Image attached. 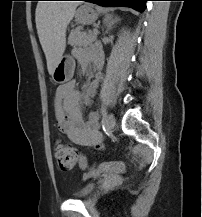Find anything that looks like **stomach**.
Here are the masks:
<instances>
[{
	"label": "stomach",
	"mask_w": 202,
	"mask_h": 217,
	"mask_svg": "<svg viewBox=\"0 0 202 217\" xmlns=\"http://www.w3.org/2000/svg\"><path fill=\"white\" fill-rule=\"evenodd\" d=\"M97 17L98 14L91 5H83L75 11V21L79 24H91ZM74 69L73 59L68 56L62 57L52 73V79L59 84L68 82L73 77Z\"/></svg>",
	"instance_id": "obj_1"
}]
</instances>
